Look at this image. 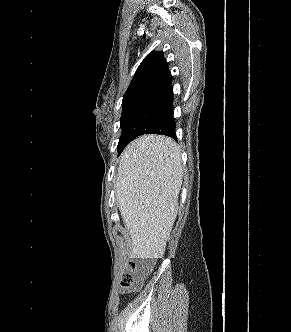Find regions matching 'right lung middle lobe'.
<instances>
[{
    "mask_svg": "<svg viewBox=\"0 0 291 332\" xmlns=\"http://www.w3.org/2000/svg\"><path fill=\"white\" fill-rule=\"evenodd\" d=\"M143 98H145V96H136V97L123 99L122 101V115L120 118V126L122 128V134L118 143V151H120L125 140L124 131L134 115V110L140 104Z\"/></svg>",
    "mask_w": 291,
    "mask_h": 332,
    "instance_id": "dd1d6c3e",
    "label": "right lung middle lobe"
}]
</instances>
